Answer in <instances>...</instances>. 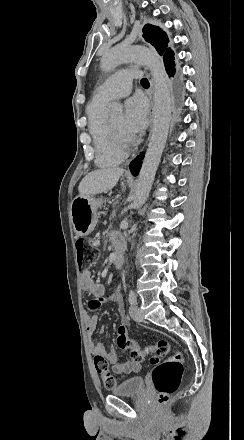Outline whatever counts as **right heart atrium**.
Segmentation results:
<instances>
[{"mask_svg": "<svg viewBox=\"0 0 244 440\" xmlns=\"http://www.w3.org/2000/svg\"><path fill=\"white\" fill-rule=\"evenodd\" d=\"M125 140H130L131 138L129 136H124Z\"/></svg>", "mask_w": 244, "mask_h": 440, "instance_id": "1", "label": "right heart atrium"}]
</instances>
